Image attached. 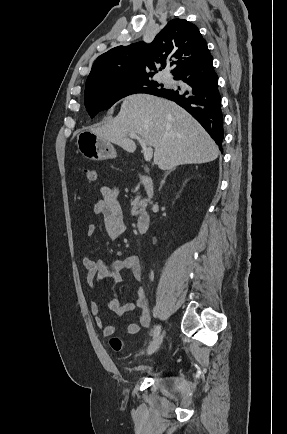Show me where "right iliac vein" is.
I'll list each match as a JSON object with an SVG mask.
<instances>
[{"label":"right iliac vein","mask_w":287,"mask_h":434,"mask_svg":"<svg viewBox=\"0 0 287 434\" xmlns=\"http://www.w3.org/2000/svg\"><path fill=\"white\" fill-rule=\"evenodd\" d=\"M163 341V334H159L156 338L151 342L148 347L147 354L152 355L161 345Z\"/></svg>","instance_id":"right-iliac-vein-1"}]
</instances>
